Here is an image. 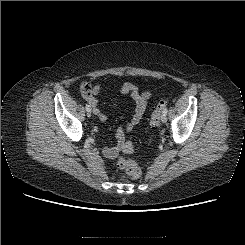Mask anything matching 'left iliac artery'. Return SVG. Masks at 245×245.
I'll return each instance as SVG.
<instances>
[{"instance_id": "left-iliac-artery-1", "label": "left iliac artery", "mask_w": 245, "mask_h": 245, "mask_svg": "<svg viewBox=\"0 0 245 245\" xmlns=\"http://www.w3.org/2000/svg\"><path fill=\"white\" fill-rule=\"evenodd\" d=\"M167 112H168V108L165 107V109L163 110V114H166L167 115Z\"/></svg>"}]
</instances>
